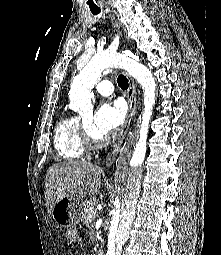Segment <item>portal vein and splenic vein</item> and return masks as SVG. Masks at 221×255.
Returning a JSON list of instances; mask_svg holds the SVG:
<instances>
[{
	"instance_id": "obj_1",
	"label": "portal vein and splenic vein",
	"mask_w": 221,
	"mask_h": 255,
	"mask_svg": "<svg viewBox=\"0 0 221 255\" xmlns=\"http://www.w3.org/2000/svg\"><path fill=\"white\" fill-rule=\"evenodd\" d=\"M92 216H94V217L97 216V211L96 210L92 212Z\"/></svg>"
}]
</instances>
